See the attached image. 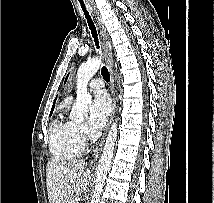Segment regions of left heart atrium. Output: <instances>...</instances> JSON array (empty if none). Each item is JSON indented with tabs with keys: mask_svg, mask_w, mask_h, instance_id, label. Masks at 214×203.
<instances>
[{
	"mask_svg": "<svg viewBox=\"0 0 214 203\" xmlns=\"http://www.w3.org/2000/svg\"><path fill=\"white\" fill-rule=\"evenodd\" d=\"M110 113V101L108 95L99 91L96 93L95 98L90 107L89 123L94 129L102 128Z\"/></svg>",
	"mask_w": 214,
	"mask_h": 203,
	"instance_id": "obj_1",
	"label": "left heart atrium"
}]
</instances>
